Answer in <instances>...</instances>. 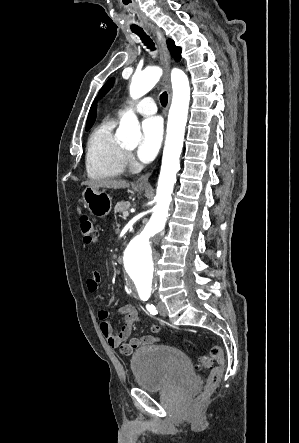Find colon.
I'll use <instances>...</instances> for the list:
<instances>
[{
	"label": "colon",
	"instance_id": "1",
	"mask_svg": "<svg viewBox=\"0 0 299 443\" xmlns=\"http://www.w3.org/2000/svg\"><path fill=\"white\" fill-rule=\"evenodd\" d=\"M80 231L81 237L85 244H92L97 240V232L92 220L87 216L83 215L80 218ZM213 363H216L215 366L207 379V385L205 391L198 397V403H203L209 393L217 387L223 377V363H224V352L221 347H213L210 351V355H201L197 358L195 367L197 369H205L212 366Z\"/></svg>",
	"mask_w": 299,
	"mask_h": 443
}]
</instances>
